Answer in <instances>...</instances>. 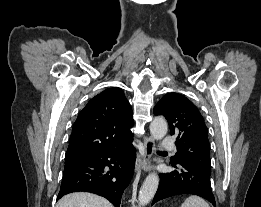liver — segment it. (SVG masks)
<instances>
[{
    "label": "liver",
    "instance_id": "1",
    "mask_svg": "<svg viewBox=\"0 0 261 207\" xmlns=\"http://www.w3.org/2000/svg\"><path fill=\"white\" fill-rule=\"evenodd\" d=\"M57 207H113L103 197L87 192H76L63 196Z\"/></svg>",
    "mask_w": 261,
    "mask_h": 207
}]
</instances>
